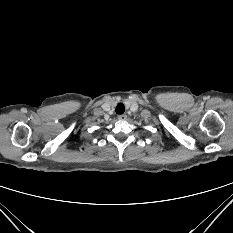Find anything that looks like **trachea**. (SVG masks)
<instances>
[{
    "label": "trachea",
    "instance_id": "1",
    "mask_svg": "<svg viewBox=\"0 0 233 233\" xmlns=\"http://www.w3.org/2000/svg\"><path fill=\"white\" fill-rule=\"evenodd\" d=\"M115 111H116L117 114H123L125 112V106L122 103H119L116 106V110Z\"/></svg>",
    "mask_w": 233,
    "mask_h": 233
}]
</instances>
